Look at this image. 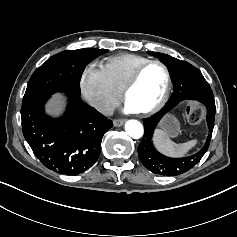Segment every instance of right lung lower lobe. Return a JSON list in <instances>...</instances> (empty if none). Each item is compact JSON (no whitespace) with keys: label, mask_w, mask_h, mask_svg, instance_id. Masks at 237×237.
<instances>
[{"label":"right lung lower lobe","mask_w":237,"mask_h":237,"mask_svg":"<svg viewBox=\"0 0 237 237\" xmlns=\"http://www.w3.org/2000/svg\"><path fill=\"white\" fill-rule=\"evenodd\" d=\"M69 104L62 118L44 113L49 96L22 105V130L35 155L49 169L65 175L80 174L97 161L104 133L113 126L80 95L66 93Z\"/></svg>","instance_id":"1"}]
</instances>
